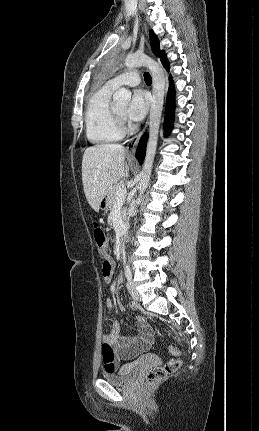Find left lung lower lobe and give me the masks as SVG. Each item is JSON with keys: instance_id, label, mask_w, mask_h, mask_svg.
<instances>
[{"instance_id": "obj_1", "label": "left lung lower lobe", "mask_w": 259, "mask_h": 431, "mask_svg": "<svg viewBox=\"0 0 259 431\" xmlns=\"http://www.w3.org/2000/svg\"><path fill=\"white\" fill-rule=\"evenodd\" d=\"M160 60L164 65V67L169 71L170 65L164 52L160 56ZM173 111H174V87L171 80L168 96H167V106H166V114H167V117L165 120L166 132L170 131L172 127ZM145 150H146V136H143L136 151V158L138 159L140 164H142L143 159L145 157Z\"/></svg>"}]
</instances>
